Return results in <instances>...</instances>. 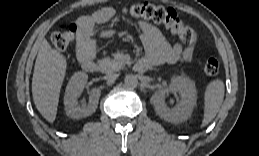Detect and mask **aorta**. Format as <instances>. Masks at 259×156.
Here are the masks:
<instances>
[{
  "label": "aorta",
  "mask_w": 259,
  "mask_h": 156,
  "mask_svg": "<svg viewBox=\"0 0 259 156\" xmlns=\"http://www.w3.org/2000/svg\"><path fill=\"white\" fill-rule=\"evenodd\" d=\"M124 83L128 88H136L138 86V79L135 75H127Z\"/></svg>",
  "instance_id": "aorta-1"
}]
</instances>
